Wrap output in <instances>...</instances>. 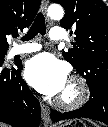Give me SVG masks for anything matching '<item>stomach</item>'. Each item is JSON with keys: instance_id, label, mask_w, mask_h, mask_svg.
<instances>
[{"instance_id": "stomach-1", "label": "stomach", "mask_w": 108, "mask_h": 127, "mask_svg": "<svg viewBox=\"0 0 108 127\" xmlns=\"http://www.w3.org/2000/svg\"><path fill=\"white\" fill-rule=\"evenodd\" d=\"M53 127H88V126L85 122H83L80 119H73L63 124H60L59 126L55 125Z\"/></svg>"}]
</instances>
